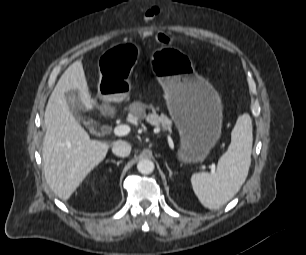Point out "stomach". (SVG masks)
<instances>
[{
  "instance_id": "0dacf381",
  "label": "stomach",
  "mask_w": 306,
  "mask_h": 255,
  "mask_svg": "<svg viewBox=\"0 0 306 255\" xmlns=\"http://www.w3.org/2000/svg\"><path fill=\"white\" fill-rule=\"evenodd\" d=\"M139 49L130 43L107 49L99 59L98 95L104 108L121 102L131 86L126 76L133 70ZM154 68L158 74L166 103L181 138L178 157L185 162H201L221 135L220 99L211 85L194 73L188 56L175 50L156 55Z\"/></svg>"
}]
</instances>
